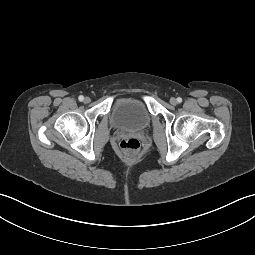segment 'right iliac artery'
<instances>
[{
  "label": "right iliac artery",
  "instance_id": "obj_1",
  "mask_svg": "<svg viewBox=\"0 0 255 255\" xmlns=\"http://www.w3.org/2000/svg\"><path fill=\"white\" fill-rule=\"evenodd\" d=\"M78 99H79V101H83V100H84V97H83L82 95H80V96L78 97Z\"/></svg>",
  "mask_w": 255,
  "mask_h": 255
}]
</instances>
